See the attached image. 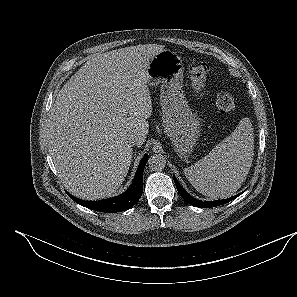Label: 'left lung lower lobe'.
Listing matches in <instances>:
<instances>
[{"label":"left lung lower lobe","mask_w":297,"mask_h":297,"mask_svg":"<svg viewBox=\"0 0 297 297\" xmlns=\"http://www.w3.org/2000/svg\"><path fill=\"white\" fill-rule=\"evenodd\" d=\"M174 181L177 187L178 192L180 193L181 197L190 205L196 206V207H200V208H208V207H215V206H219L222 204H225L227 202L232 201L233 199H235L236 197H238L239 195H241L242 193L235 195L231 198L228 199H224V200H217V201H200L197 200L195 198H193L192 196H190L179 184V182L177 181V179L174 177Z\"/></svg>","instance_id":"0a47b994"}]
</instances>
